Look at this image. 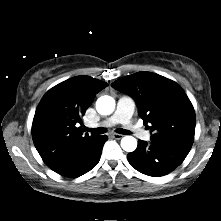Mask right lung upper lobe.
Masks as SVG:
<instances>
[{"label":"right lung upper lobe","mask_w":221,"mask_h":221,"mask_svg":"<svg viewBox=\"0 0 221 221\" xmlns=\"http://www.w3.org/2000/svg\"><path fill=\"white\" fill-rule=\"evenodd\" d=\"M108 84L76 76L51 88L41 99L33 119L32 138L44 163L61 172L86 153L100 135L79 126L96 94Z\"/></svg>","instance_id":"obj_1"}]
</instances>
